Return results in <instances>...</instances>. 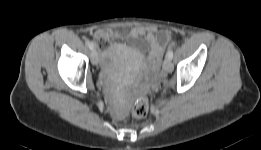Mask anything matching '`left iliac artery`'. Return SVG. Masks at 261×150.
Instances as JSON below:
<instances>
[{
	"mask_svg": "<svg viewBox=\"0 0 261 150\" xmlns=\"http://www.w3.org/2000/svg\"><path fill=\"white\" fill-rule=\"evenodd\" d=\"M167 57H168L169 59H172V58H173V50H169V51L167 52Z\"/></svg>",
	"mask_w": 261,
	"mask_h": 150,
	"instance_id": "1",
	"label": "left iliac artery"
}]
</instances>
